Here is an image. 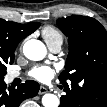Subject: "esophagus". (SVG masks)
I'll return each instance as SVG.
<instances>
[{
	"mask_svg": "<svg viewBox=\"0 0 107 107\" xmlns=\"http://www.w3.org/2000/svg\"><path fill=\"white\" fill-rule=\"evenodd\" d=\"M47 92H48V90H47L46 87H44V86H41V87H40V89H39V94H40V95H43V94H45V93H47Z\"/></svg>",
	"mask_w": 107,
	"mask_h": 107,
	"instance_id": "esophagus-1",
	"label": "esophagus"
}]
</instances>
